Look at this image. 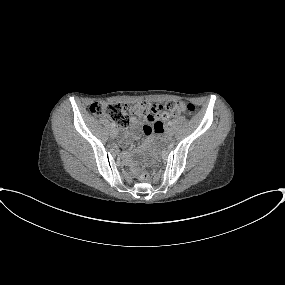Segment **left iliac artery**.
<instances>
[{
  "instance_id": "1",
  "label": "left iliac artery",
  "mask_w": 285,
  "mask_h": 285,
  "mask_svg": "<svg viewBox=\"0 0 285 285\" xmlns=\"http://www.w3.org/2000/svg\"><path fill=\"white\" fill-rule=\"evenodd\" d=\"M172 124H173V122H172V121H169V122H168V125H169V126H171Z\"/></svg>"
}]
</instances>
